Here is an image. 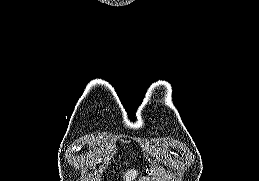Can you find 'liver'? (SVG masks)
<instances>
[{"label": "liver", "instance_id": "1", "mask_svg": "<svg viewBox=\"0 0 259 181\" xmlns=\"http://www.w3.org/2000/svg\"><path fill=\"white\" fill-rule=\"evenodd\" d=\"M138 175V172L134 169L128 170L127 173L123 176V179L126 181H133Z\"/></svg>", "mask_w": 259, "mask_h": 181}]
</instances>
